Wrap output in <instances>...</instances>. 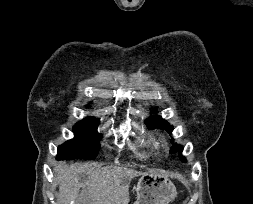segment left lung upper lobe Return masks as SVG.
Instances as JSON below:
<instances>
[{
	"mask_svg": "<svg viewBox=\"0 0 253 204\" xmlns=\"http://www.w3.org/2000/svg\"><path fill=\"white\" fill-rule=\"evenodd\" d=\"M146 124L149 128L158 127L166 130L168 133H171L173 130L172 126L167 121L163 120L160 116L151 117L150 119L146 120ZM178 151L179 155L181 156L183 148L180 145H174L171 147L170 153H176ZM180 158L181 160L185 161V158L183 156H181Z\"/></svg>",
	"mask_w": 253,
	"mask_h": 204,
	"instance_id": "1",
	"label": "left lung upper lobe"
}]
</instances>
